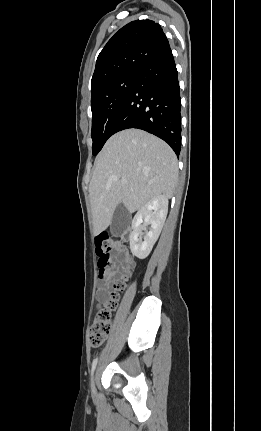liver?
Wrapping results in <instances>:
<instances>
[{"label":"liver","mask_w":261,"mask_h":431,"mask_svg":"<svg viewBox=\"0 0 261 431\" xmlns=\"http://www.w3.org/2000/svg\"><path fill=\"white\" fill-rule=\"evenodd\" d=\"M177 183V158L166 142L134 128L114 134L95 160L89 185L94 235L111 224L119 204L134 213L161 194L171 198Z\"/></svg>","instance_id":"6515ba94"}]
</instances>
